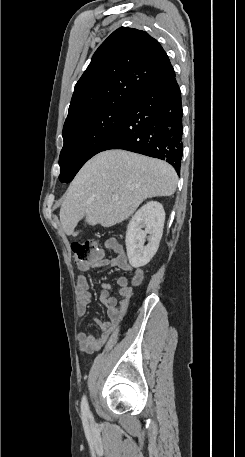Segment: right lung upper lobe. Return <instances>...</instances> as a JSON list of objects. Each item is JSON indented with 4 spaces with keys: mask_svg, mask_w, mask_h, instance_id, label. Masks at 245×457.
<instances>
[{
    "mask_svg": "<svg viewBox=\"0 0 245 457\" xmlns=\"http://www.w3.org/2000/svg\"><path fill=\"white\" fill-rule=\"evenodd\" d=\"M174 74L157 40L121 27L96 50L75 85L66 121L114 101H133L149 85Z\"/></svg>",
    "mask_w": 245,
    "mask_h": 457,
    "instance_id": "cb5924a9",
    "label": "right lung upper lobe"
}]
</instances>
